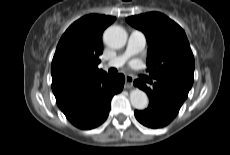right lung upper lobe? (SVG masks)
Returning a JSON list of instances; mask_svg holds the SVG:
<instances>
[{
	"label": "right lung upper lobe",
	"instance_id": "1",
	"mask_svg": "<svg viewBox=\"0 0 230 155\" xmlns=\"http://www.w3.org/2000/svg\"><path fill=\"white\" fill-rule=\"evenodd\" d=\"M115 19L90 14L75 21L65 31L51 65L54 95L86 85L106 74L98 69L99 55L103 52L102 34Z\"/></svg>",
	"mask_w": 230,
	"mask_h": 155
}]
</instances>
